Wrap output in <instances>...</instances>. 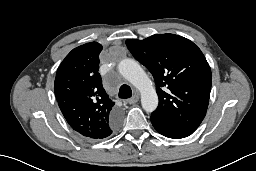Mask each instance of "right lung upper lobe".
<instances>
[{
	"instance_id": "right-lung-upper-lobe-1",
	"label": "right lung upper lobe",
	"mask_w": 256,
	"mask_h": 171,
	"mask_svg": "<svg viewBox=\"0 0 256 171\" xmlns=\"http://www.w3.org/2000/svg\"><path fill=\"white\" fill-rule=\"evenodd\" d=\"M102 45L90 42L73 49L57 69L55 96L68 124L90 139L112 134L111 117L117 110L102 86L99 54Z\"/></svg>"
}]
</instances>
